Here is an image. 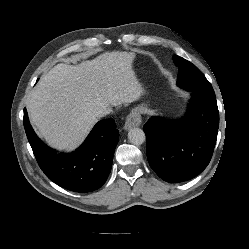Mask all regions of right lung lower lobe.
<instances>
[{"label": "right lung lower lobe", "mask_w": 249, "mask_h": 249, "mask_svg": "<svg viewBox=\"0 0 249 249\" xmlns=\"http://www.w3.org/2000/svg\"><path fill=\"white\" fill-rule=\"evenodd\" d=\"M24 128L40 168L57 185L75 192H91L107 180L119 140L113 119L99 121L84 143L75 152L68 154L58 153L37 137L26 109Z\"/></svg>", "instance_id": "obj_1"}]
</instances>
